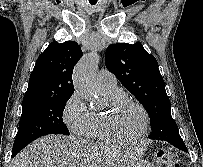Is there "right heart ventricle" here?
<instances>
[{"instance_id": "right-heart-ventricle-1", "label": "right heart ventricle", "mask_w": 203, "mask_h": 167, "mask_svg": "<svg viewBox=\"0 0 203 167\" xmlns=\"http://www.w3.org/2000/svg\"><path fill=\"white\" fill-rule=\"evenodd\" d=\"M104 95L109 97L117 92H120L117 87L114 88H102ZM101 114L96 111H90V117L84 133L82 134L87 139L109 141L102 130L101 126Z\"/></svg>"}]
</instances>
